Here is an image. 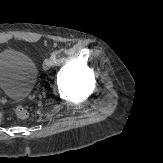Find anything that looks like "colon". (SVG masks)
<instances>
[{
	"label": "colon",
	"mask_w": 163,
	"mask_h": 163,
	"mask_svg": "<svg viewBox=\"0 0 163 163\" xmlns=\"http://www.w3.org/2000/svg\"><path fill=\"white\" fill-rule=\"evenodd\" d=\"M14 113L19 119H25V118H27L29 116L28 110L25 107H22V106H17L14 109Z\"/></svg>",
	"instance_id": "obj_1"
}]
</instances>
